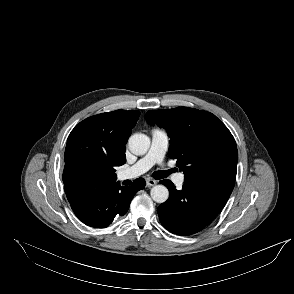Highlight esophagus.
I'll list each match as a JSON object with an SVG mask.
<instances>
[{
  "mask_svg": "<svg viewBox=\"0 0 294 294\" xmlns=\"http://www.w3.org/2000/svg\"><path fill=\"white\" fill-rule=\"evenodd\" d=\"M156 180H154V179H151V178H148L147 180H146V186L147 187H152V186H154V185H156Z\"/></svg>",
  "mask_w": 294,
  "mask_h": 294,
  "instance_id": "obj_1",
  "label": "esophagus"
}]
</instances>
